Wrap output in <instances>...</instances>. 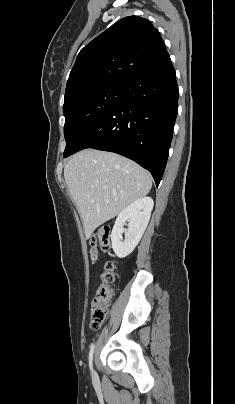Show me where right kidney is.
Here are the masks:
<instances>
[{
	"label": "right kidney",
	"instance_id": "1",
	"mask_svg": "<svg viewBox=\"0 0 235 404\" xmlns=\"http://www.w3.org/2000/svg\"><path fill=\"white\" fill-rule=\"evenodd\" d=\"M153 205L152 198L143 197L120 212L111 233L112 248L117 257L128 256L137 246L148 225ZM126 221L128 222L127 230L124 229ZM123 233L125 240L122 238Z\"/></svg>",
	"mask_w": 235,
	"mask_h": 404
}]
</instances>
